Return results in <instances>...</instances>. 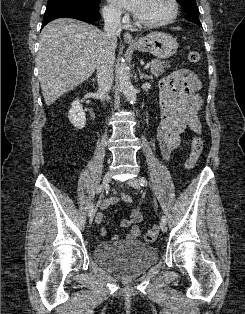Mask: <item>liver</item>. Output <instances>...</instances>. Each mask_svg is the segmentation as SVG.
<instances>
[{
	"label": "liver",
	"instance_id": "obj_1",
	"mask_svg": "<svg viewBox=\"0 0 245 314\" xmlns=\"http://www.w3.org/2000/svg\"><path fill=\"white\" fill-rule=\"evenodd\" d=\"M105 49V34L91 24L70 18L48 23L39 36L37 56L38 78L47 106L86 81Z\"/></svg>",
	"mask_w": 245,
	"mask_h": 314
}]
</instances>
